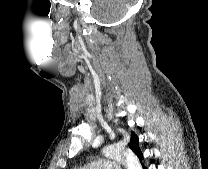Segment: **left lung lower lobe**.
<instances>
[{
    "label": "left lung lower lobe",
    "instance_id": "0a47b994",
    "mask_svg": "<svg viewBox=\"0 0 208 169\" xmlns=\"http://www.w3.org/2000/svg\"><path fill=\"white\" fill-rule=\"evenodd\" d=\"M137 156L139 157L140 160L143 159V154H142V152H139V153L137 154ZM143 168H144V169H147L146 167H143Z\"/></svg>",
    "mask_w": 208,
    "mask_h": 169
}]
</instances>
